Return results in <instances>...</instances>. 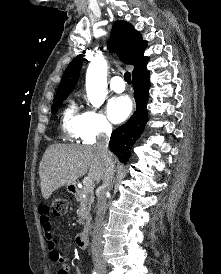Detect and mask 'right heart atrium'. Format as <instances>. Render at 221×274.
Segmentation results:
<instances>
[{
  "label": "right heart atrium",
  "instance_id": "obj_1",
  "mask_svg": "<svg viewBox=\"0 0 221 274\" xmlns=\"http://www.w3.org/2000/svg\"><path fill=\"white\" fill-rule=\"evenodd\" d=\"M112 127L106 117L96 109H87L81 114L79 138L86 144L108 136Z\"/></svg>",
  "mask_w": 221,
  "mask_h": 274
}]
</instances>
